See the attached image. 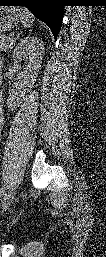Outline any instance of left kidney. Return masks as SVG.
Wrapping results in <instances>:
<instances>
[{
  "mask_svg": "<svg viewBox=\"0 0 106 257\" xmlns=\"http://www.w3.org/2000/svg\"><path fill=\"white\" fill-rule=\"evenodd\" d=\"M44 53L43 42L37 37H26L15 47L12 58L16 65H19L23 60L25 66L21 76L25 80L26 87H31L38 74L42 63V55ZM25 87V89H26ZM14 98L8 99L9 107H13Z\"/></svg>",
  "mask_w": 106,
  "mask_h": 257,
  "instance_id": "1",
  "label": "left kidney"
}]
</instances>
